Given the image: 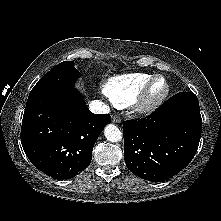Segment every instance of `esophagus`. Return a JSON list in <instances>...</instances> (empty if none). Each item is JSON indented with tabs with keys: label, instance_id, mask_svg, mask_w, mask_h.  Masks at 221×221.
<instances>
[{
	"label": "esophagus",
	"instance_id": "34e87169",
	"mask_svg": "<svg viewBox=\"0 0 221 221\" xmlns=\"http://www.w3.org/2000/svg\"><path fill=\"white\" fill-rule=\"evenodd\" d=\"M112 122L113 123H120L121 122V117L119 115L112 116Z\"/></svg>",
	"mask_w": 221,
	"mask_h": 221
}]
</instances>
